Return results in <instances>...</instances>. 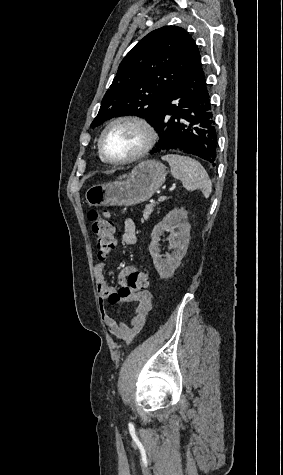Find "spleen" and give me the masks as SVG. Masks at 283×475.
<instances>
[{
    "label": "spleen",
    "instance_id": "3e777b00",
    "mask_svg": "<svg viewBox=\"0 0 283 475\" xmlns=\"http://www.w3.org/2000/svg\"><path fill=\"white\" fill-rule=\"evenodd\" d=\"M162 160L168 162L173 178L181 180L186 190H201L204 198H209L212 192V182L203 166L186 156H163Z\"/></svg>",
    "mask_w": 283,
    "mask_h": 475
}]
</instances>
